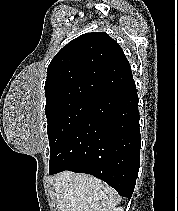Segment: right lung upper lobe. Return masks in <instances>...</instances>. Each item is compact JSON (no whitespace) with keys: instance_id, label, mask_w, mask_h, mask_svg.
<instances>
[{"instance_id":"obj_1","label":"right lung upper lobe","mask_w":178,"mask_h":211,"mask_svg":"<svg viewBox=\"0 0 178 211\" xmlns=\"http://www.w3.org/2000/svg\"><path fill=\"white\" fill-rule=\"evenodd\" d=\"M133 80L118 43L105 32L86 33L52 59L45 82V109L81 98L95 99Z\"/></svg>"}]
</instances>
